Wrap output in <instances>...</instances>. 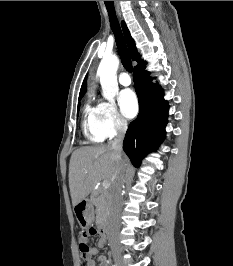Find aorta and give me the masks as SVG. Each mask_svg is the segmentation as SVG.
<instances>
[{"label": "aorta", "mask_w": 233, "mask_h": 266, "mask_svg": "<svg viewBox=\"0 0 233 266\" xmlns=\"http://www.w3.org/2000/svg\"><path fill=\"white\" fill-rule=\"evenodd\" d=\"M119 59L117 56L104 57L98 67L97 75L100 78L103 97L108 101H113L118 93L117 69Z\"/></svg>", "instance_id": "1"}]
</instances>
